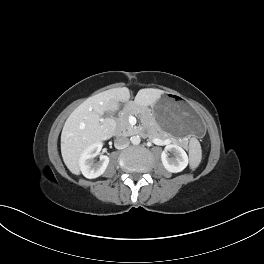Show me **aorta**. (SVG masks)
I'll return each mask as SVG.
<instances>
[{"label": "aorta", "mask_w": 264, "mask_h": 264, "mask_svg": "<svg viewBox=\"0 0 264 264\" xmlns=\"http://www.w3.org/2000/svg\"><path fill=\"white\" fill-rule=\"evenodd\" d=\"M130 141L133 145H138L140 142H141V139L140 137L137 135V136H132L130 138Z\"/></svg>", "instance_id": "762f6f07"}]
</instances>
